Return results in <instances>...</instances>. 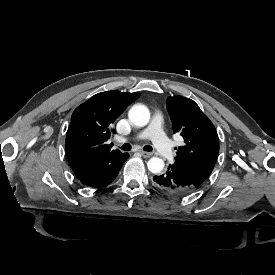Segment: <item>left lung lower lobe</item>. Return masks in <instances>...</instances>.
<instances>
[{
	"label": "left lung lower lobe",
	"instance_id": "1",
	"mask_svg": "<svg viewBox=\"0 0 275 275\" xmlns=\"http://www.w3.org/2000/svg\"><path fill=\"white\" fill-rule=\"evenodd\" d=\"M153 181L158 190L164 194L175 197L189 195L197 189L192 182L173 165H171L165 173L154 176Z\"/></svg>",
	"mask_w": 275,
	"mask_h": 275
}]
</instances>
